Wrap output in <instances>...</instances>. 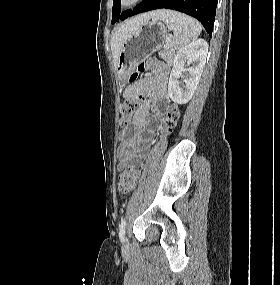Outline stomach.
I'll use <instances>...</instances> for the list:
<instances>
[{"mask_svg":"<svg viewBox=\"0 0 280 285\" xmlns=\"http://www.w3.org/2000/svg\"><path fill=\"white\" fill-rule=\"evenodd\" d=\"M168 31L161 20H152L141 25L122 44L118 63L117 75L121 82L126 83L128 75L135 66L160 49L166 42Z\"/></svg>","mask_w":280,"mask_h":285,"instance_id":"stomach-1","label":"stomach"}]
</instances>
